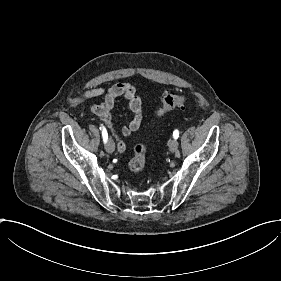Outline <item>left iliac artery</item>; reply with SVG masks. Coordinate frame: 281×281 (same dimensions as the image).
<instances>
[{"label": "left iliac artery", "mask_w": 281, "mask_h": 281, "mask_svg": "<svg viewBox=\"0 0 281 281\" xmlns=\"http://www.w3.org/2000/svg\"><path fill=\"white\" fill-rule=\"evenodd\" d=\"M173 137H174V139H177V138L179 137V132H178V130H175V131L173 132Z\"/></svg>", "instance_id": "obj_1"}]
</instances>
